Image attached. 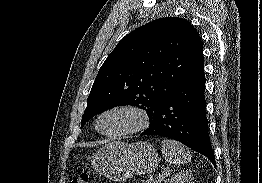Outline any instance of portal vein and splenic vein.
I'll list each match as a JSON object with an SVG mask.
<instances>
[{
    "label": "portal vein and splenic vein",
    "mask_w": 262,
    "mask_h": 183,
    "mask_svg": "<svg viewBox=\"0 0 262 183\" xmlns=\"http://www.w3.org/2000/svg\"><path fill=\"white\" fill-rule=\"evenodd\" d=\"M164 177H165L164 174H162V176L159 177V180L161 181V179H163Z\"/></svg>",
    "instance_id": "obj_1"
}]
</instances>
